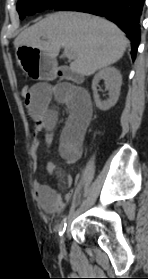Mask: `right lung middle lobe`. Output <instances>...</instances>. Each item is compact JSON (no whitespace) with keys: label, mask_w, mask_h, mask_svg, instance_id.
Here are the masks:
<instances>
[{"label":"right lung middle lobe","mask_w":148,"mask_h":279,"mask_svg":"<svg viewBox=\"0 0 148 279\" xmlns=\"http://www.w3.org/2000/svg\"><path fill=\"white\" fill-rule=\"evenodd\" d=\"M73 1L74 0H18L17 11L20 19H24L26 15H33L45 9H54L59 5Z\"/></svg>","instance_id":"dd1d6c3e"}]
</instances>
